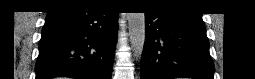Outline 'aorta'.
<instances>
[{"label":"aorta","instance_id":"obj_1","mask_svg":"<svg viewBox=\"0 0 255 79\" xmlns=\"http://www.w3.org/2000/svg\"><path fill=\"white\" fill-rule=\"evenodd\" d=\"M127 19L133 55L140 58L145 44V14L128 13Z\"/></svg>","mask_w":255,"mask_h":79}]
</instances>
